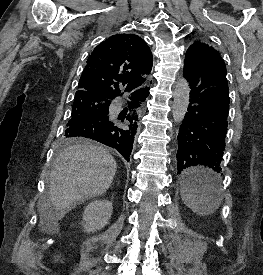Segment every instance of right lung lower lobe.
<instances>
[{
	"label": "right lung lower lobe",
	"mask_w": 263,
	"mask_h": 275,
	"mask_svg": "<svg viewBox=\"0 0 263 275\" xmlns=\"http://www.w3.org/2000/svg\"><path fill=\"white\" fill-rule=\"evenodd\" d=\"M149 94V88H142L133 93L131 108L139 106V102L143 101ZM125 120L123 127L121 122ZM138 116L128 114L127 116L104 115H88L67 125L65 135L69 137H86L96 140L102 144L116 149L128 162L133 148L134 136L137 129Z\"/></svg>",
	"instance_id": "right-lung-lower-lobe-1"
}]
</instances>
